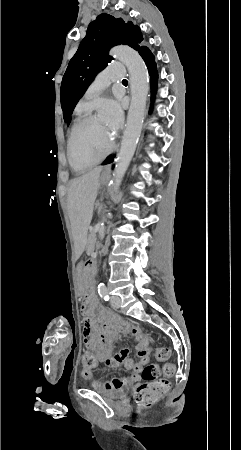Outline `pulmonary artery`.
<instances>
[{
    "instance_id": "e3ab8cb5",
    "label": "pulmonary artery",
    "mask_w": 241,
    "mask_h": 450,
    "mask_svg": "<svg viewBox=\"0 0 241 450\" xmlns=\"http://www.w3.org/2000/svg\"><path fill=\"white\" fill-rule=\"evenodd\" d=\"M124 66L122 64H105L103 69L96 76L98 83H103L105 78H123ZM96 90L100 89L99 85L95 86Z\"/></svg>"
}]
</instances>
